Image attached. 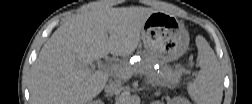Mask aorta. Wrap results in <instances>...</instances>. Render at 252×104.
<instances>
[{
    "label": "aorta",
    "instance_id": "aorta-1",
    "mask_svg": "<svg viewBox=\"0 0 252 104\" xmlns=\"http://www.w3.org/2000/svg\"><path fill=\"white\" fill-rule=\"evenodd\" d=\"M139 101H140V98L138 96H131L128 94L125 95V102L126 103L135 104V103H138Z\"/></svg>",
    "mask_w": 252,
    "mask_h": 104
}]
</instances>
